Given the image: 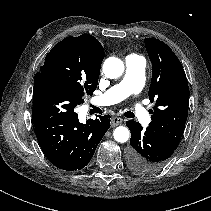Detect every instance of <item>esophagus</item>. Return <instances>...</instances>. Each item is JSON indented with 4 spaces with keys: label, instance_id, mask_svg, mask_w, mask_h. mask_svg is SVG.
Listing matches in <instances>:
<instances>
[{
    "label": "esophagus",
    "instance_id": "1",
    "mask_svg": "<svg viewBox=\"0 0 211 211\" xmlns=\"http://www.w3.org/2000/svg\"><path fill=\"white\" fill-rule=\"evenodd\" d=\"M122 121H123V119L120 118V117H113V118L111 119V126H112V127H115V126L121 124Z\"/></svg>",
    "mask_w": 211,
    "mask_h": 211
}]
</instances>
